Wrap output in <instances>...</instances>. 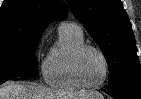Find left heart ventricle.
Listing matches in <instances>:
<instances>
[{"label": "left heart ventricle", "mask_w": 141, "mask_h": 99, "mask_svg": "<svg viewBox=\"0 0 141 99\" xmlns=\"http://www.w3.org/2000/svg\"><path fill=\"white\" fill-rule=\"evenodd\" d=\"M80 67L82 77L88 84H97L102 81L105 73L104 62L97 52L93 50L85 52Z\"/></svg>", "instance_id": "b2bd125f"}]
</instances>
